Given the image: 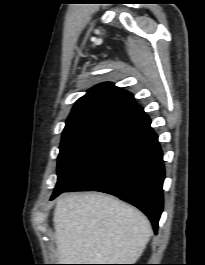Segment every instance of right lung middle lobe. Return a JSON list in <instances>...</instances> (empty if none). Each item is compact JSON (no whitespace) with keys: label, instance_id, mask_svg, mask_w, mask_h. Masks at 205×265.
Instances as JSON below:
<instances>
[{"label":"right lung middle lobe","instance_id":"1","mask_svg":"<svg viewBox=\"0 0 205 265\" xmlns=\"http://www.w3.org/2000/svg\"><path fill=\"white\" fill-rule=\"evenodd\" d=\"M125 128L101 124L63 134L54 193L66 188Z\"/></svg>","mask_w":205,"mask_h":265}]
</instances>
